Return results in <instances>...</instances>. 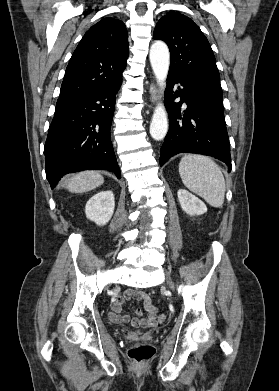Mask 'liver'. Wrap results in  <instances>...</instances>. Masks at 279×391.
Listing matches in <instances>:
<instances>
[{"instance_id":"1","label":"liver","mask_w":279,"mask_h":391,"mask_svg":"<svg viewBox=\"0 0 279 391\" xmlns=\"http://www.w3.org/2000/svg\"><path fill=\"white\" fill-rule=\"evenodd\" d=\"M104 183L103 176L96 171H84L66 179L64 187L72 193H84Z\"/></svg>"}]
</instances>
